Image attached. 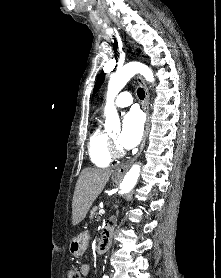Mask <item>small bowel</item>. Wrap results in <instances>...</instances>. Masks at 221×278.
<instances>
[{
    "label": "small bowel",
    "mask_w": 221,
    "mask_h": 278,
    "mask_svg": "<svg viewBox=\"0 0 221 278\" xmlns=\"http://www.w3.org/2000/svg\"><path fill=\"white\" fill-rule=\"evenodd\" d=\"M81 272H82L84 277H87L90 273V266L88 264L82 265Z\"/></svg>",
    "instance_id": "small-bowel-1"
}]
</instances>
